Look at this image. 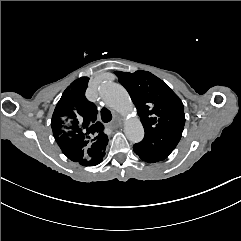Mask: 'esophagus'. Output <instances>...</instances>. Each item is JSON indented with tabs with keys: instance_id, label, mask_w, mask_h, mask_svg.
Here are the masks:
<instances>
[{
	"instance_id": "esophagus-1",
	"label": "esophagus",
	"mask_w": 241,
	"mask_h": 241,
	"mask_svg": "<svg viewBox=\"0 0 241 241\" xmlns=\"http://www.w3.org/2000/svg\"><path fill=\"white\" fill-rule=\"evenodd\" d=\"M112 128H116L119 126V122L117 119L114 120V122L112 124H110Z\"/></svg>"
}]
</instances>
